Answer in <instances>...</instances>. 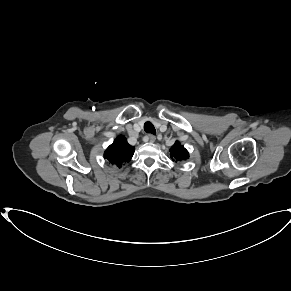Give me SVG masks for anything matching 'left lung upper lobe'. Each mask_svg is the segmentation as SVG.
I'll use <instances>...</instances> for the list:
<instances>
[{
    "mask_svg": "<svg viewBox=\"0 0 291 291\" xmlns=\"http://www.w3.org/2000/svg\"><path fill=\"white\" fill-rule=\"evenodd\" d=\"M171 157L177 161L186 160L189 157L188 151L178 141L170 149Z\"/></svg>",
    "mask_w": 291,
    "mask_h": 291,
    "instance_id": "left-lung-upper-lobe-1",
    "label": "left lung upper lobe"
}]
</instances>
